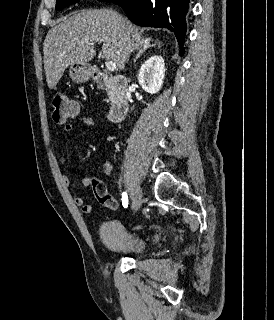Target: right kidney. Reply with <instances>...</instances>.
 <instances>
[{"label": "right kidney", "instance_id": "ca27d5eb", "mask_svg": "<svg viewBox=\"0 0 274 320\" xmlns=\"http://www.w3.org/2000/svg\"><path fill=\"white\" fill-rule=\"evenodd\" d=\"M165 78V62L162 56H151L142 64L138 74L137 80L148 94H157L163 86Z\"/></svg>", "mask_w": 274, "mask_h": 320}]
</instances>
